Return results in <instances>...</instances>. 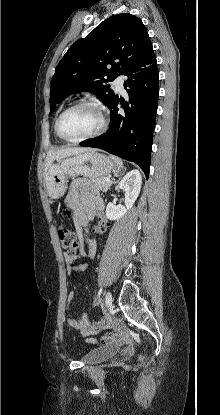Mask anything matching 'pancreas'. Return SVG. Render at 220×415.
Masks as SVG:
<instances>
[{
	"instance_id": "cf45deb5",
	"label": "pancreas",
	"mask_w": 220,
	"mask_h": 415,
	"mask_svg": "<svg viewBox=\"0 0 220 415\" xmlns=\"http://www.w3.org/2000/svg\"><path fill=\"white\" fill-rule=\"evenodd\" d=\"M92 183L94 188L106 192L112 185V182H106L105 177L93 178Z\"/></svg>"
}]
</instances>
